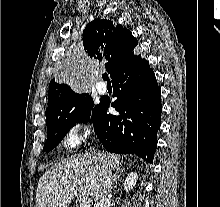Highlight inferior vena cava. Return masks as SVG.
<instances>
[{"mask_svg": "<svg viewBox=\"0 0 220 207\" xmlns=\"http://www.w3.org/2000/svg\"><path fill=\"white\" fill-rule=\"evenodd\" d=\"M95 161L99 163L101 170L95 186L94 207H110L112 173L104 166L103 157L100 153L95 154Z\"/></svg>", "mask_w": 220, "mask_h": 207, "instance_id": "inferior-vena-cava-1", "label": "inferior vena cava"}]
</instances>
